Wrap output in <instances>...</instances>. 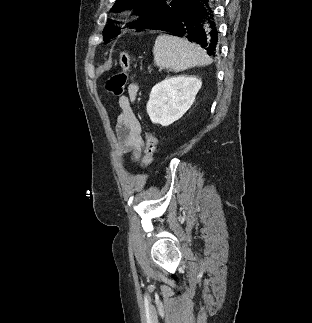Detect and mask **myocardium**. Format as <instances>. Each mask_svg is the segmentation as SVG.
Returning <instances> with one entry per match:
<instances>
[{
    "label": "myocardium",
    "mask_w": 312,
    "mask_h": 323,
    "mask_svg": "<svg viewBox=\"0 0 312 323\" xmlns=\"http://www.w3.org/2000/svg\"><path fill=\"white\" fill-rule=\"evenodd\" d=\"M118 15H122L123 17H130L132 15V12L130 10H123L122 12H118Z\"/></svg>",
    "instance_id": "f54148a6"
}]
</instances>
